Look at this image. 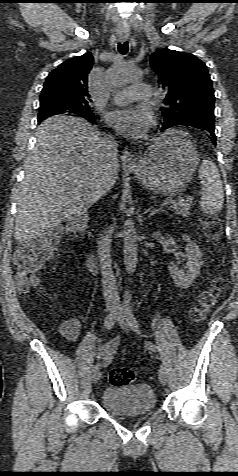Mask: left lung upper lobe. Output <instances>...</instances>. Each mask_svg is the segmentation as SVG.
I'll use <instances>...</instances> for the list:
<instances>
[{"label": "left lung upper lobe", "mask_w": 238, "mask_h": 476, "mask_svg": "<svg viewBox=\"0 0 238 476\" xmlns=\"http://www.w3.org/2000/svg\"><path fill=\"white\" fill-rule=\"evenodd\" d=\"M150 64L165 88L164 126L215 120L214 90L204 62L192 54L162 49L150 56Z\"/></svg>", "instance_id": "obj_1"}]
</instances>
